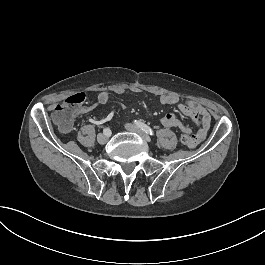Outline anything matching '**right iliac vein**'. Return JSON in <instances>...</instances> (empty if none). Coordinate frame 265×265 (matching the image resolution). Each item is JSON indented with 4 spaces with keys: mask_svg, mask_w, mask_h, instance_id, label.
I'll list each match as a JSON object with an SVG mask.
<instances>
[{
    "mask_svg": "<svg viewBox=\"0 0 265 265\" xmlns=\"http://www.w3.org/2000/svg\"><path fill=\"white\" fill-rule=\"evenodd\" d=\"M109 139V136L106 135V134H99L97 136V141L100 143V144H105Z\"/></svg>",
    "mask_w": 265,
    "mask_h": 265,
    "instance_id": "right-iliac-vein-1",
    "label": "right iliac vein"
}]
</instances>
